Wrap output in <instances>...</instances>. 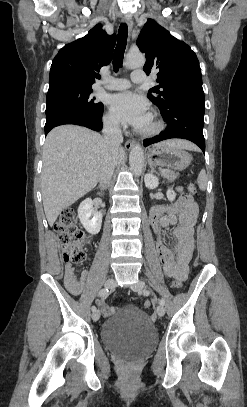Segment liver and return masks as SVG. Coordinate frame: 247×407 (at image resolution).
<instances>
[{"instance_id": "liver-1", "label": "liver", "mask_w": 247, "mask_h": 407, "mask_svg": "<svg viewBox=\"0 0 247 407\" xmlns=\"http://www.w3.org/2000/svg\"><path fill=\"white\" fill-rule=\"evenodd\" d=\"M180 149H196L189 141L174 139L162 142ZM105 145L100 134L85 127L62 125L52 129L43 148L41 191L50 226L65 208L90 192L100 179ZM125 153L118 149L116 161Z\"/></svg>"}]
</instances>
